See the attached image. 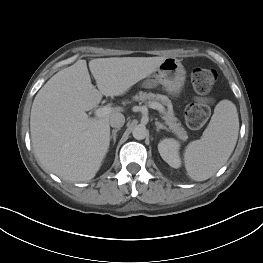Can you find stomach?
Listing matches in <instances>:
<instances>
[{"instance_id":"1","label":"stomach","mask_w":263,"mask_h":263,"mask_svg":"<svg viewBox=\"0 0 263 263\" xmlns=\"http://www.w3.org/2000/svg\"><path fill=\"white\" fill-rule=\"evenodd\" d=\"M186 71L181 62L175 57H166L154 74L148 77L143 86L153 88L161 84L171 95H178L184 86Z\"/></svg>"}]
</instances>
